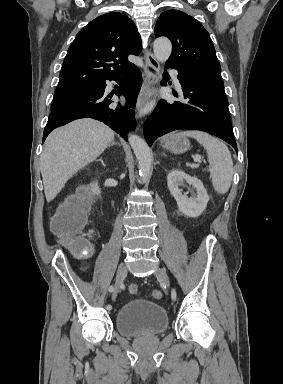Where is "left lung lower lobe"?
<instances>
[{"label": "left lung lower lobe", "mask_w": 283, "mask_h": 384, "mask_svg": "<svg viewBox=\"0 0 283 384\" xmlns=\"http://www.w3.org/2000/svg\"><path fill=\"white\" fill-rule=\"evenodd\" d=\"M168 67V66H167ZM165 80L169 79L164 73ZM187 103L161 100L144 124L149 145L168 132L180 129L201 130L228 142L237 152L224 84L178 72Z\"/></svg>", "instance_id": "0a47b994"}]
</instances>
